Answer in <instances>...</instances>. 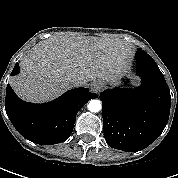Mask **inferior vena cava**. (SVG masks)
I'll return each instance as SVG.
<instances>
[{"label":"inferior vena cava","mask_w":178,"mask_h":178,"mask_svg":"<svg viewBox=\"0 0 178 178\" xmlns=\"http://www.w3.org/2000/svg\"><path fill=\"white\" fill-rule=\"evenodd\" d=\"M69 80L73 86H79L80 84L79 80L76 77H71Z\"/></svg>","instance_id":"602c4592"}]
</instances>
